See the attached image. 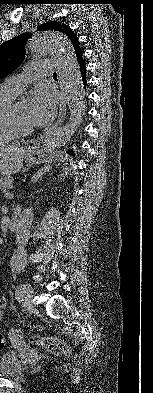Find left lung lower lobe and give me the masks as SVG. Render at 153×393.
Returning <instances> with one entry per match:
<instances>
[{"label":"left lung lower lobe","instance_id":"1","mask_svg":"<svg viewBox=\"0 0 153 393\" xmlns=\"http://www.w3.org/2000/svg\"><path fill=\"white\" fill-rule=\"evenodd\" d=\"M75 54H76V57H77V62H78L79 68H80L81 77H82L84 86H86V77H85L86 65H85V61L83 59V52L82 51H80L78 53L75 52ZM68 153L74 155L73 151L69 150Z\"/></svg>","mask_w":153,"mask_h":393}]
</instances>
